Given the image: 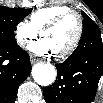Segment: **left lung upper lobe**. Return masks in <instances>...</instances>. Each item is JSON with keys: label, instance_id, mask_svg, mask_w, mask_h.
<instances>
[{"label": "left lung upper lobe", "instance_id": "obj_1", "mask_svg": "<svg viewBox=\"0 0 103 103\" xmlns=\"http://www.w3.org/2000/svg\"><path fill=\"white\" fill-rule=\"evenodd\" d=\"M83 16V32L89 29H94L98 27L96 23L84 12H82Z\"/></svg>", "mask_w": 103, "mask_h": 103}]
</instances>
